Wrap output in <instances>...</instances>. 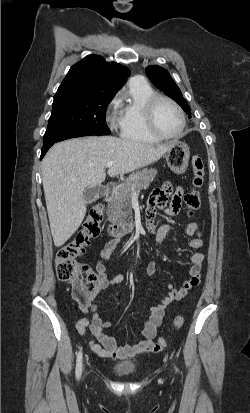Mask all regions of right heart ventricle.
Here are the masks:
<instances>
[{
    "mask_svg": "<svg viewBox=\"0 0 250 413\" xmlns=\"http://www.w3.org/2000/svg\"><path fill=\"white\" fill-rule=\"evenodd\" d=\"M154 94V89L143 79L130 81L120 111L119 128L123 139L141 143L159 141L147 130L144 115L145 104Z\"/></svg>",
    "mask_w": 250,
    "mask_h": 413,
    "instance_id": "1",
    "label": "right heart ventricle"
}]
</instances>
